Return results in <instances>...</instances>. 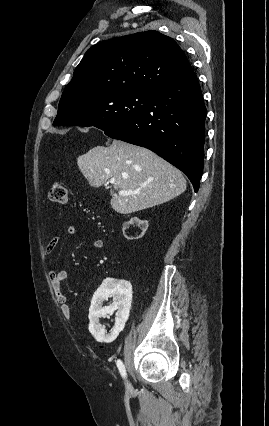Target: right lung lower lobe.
Segmentation results:
<instances>
[{"label":"right lung lower lobe","mask_w":269,"mask_h":426,"mask_svg":"<svg viewBox=\"0 0 269 426\" xmlns=\"http://www.w3.org/2000/svg\"><path fill=\"white\" fill-rule=\"evenodd\" d=\"M206 114L192 71L152 90L138 115L105 134L152 150L184 172L197 192L203 171Z\"/></svg>","instance_id":"1"}]
</instances>
